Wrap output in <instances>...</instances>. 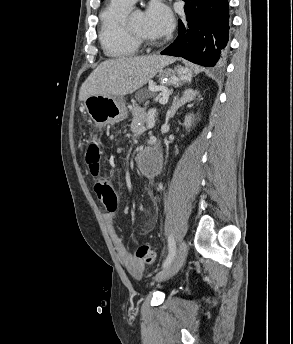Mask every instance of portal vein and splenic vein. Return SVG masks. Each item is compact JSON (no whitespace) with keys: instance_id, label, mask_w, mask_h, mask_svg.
<instances>
[{"instance_id":"1","label":"portal vein and splenic vein","mask_w":293,"mask_h":344,"mask_svg":"<svg viewBox=\"0 0 293 344\" xmlns=\"http://www.w3.org/2000/svg\"><path fill=\"white\" fill-rule=\"evenodd\" d=\"M168 99V96L167 97H163V100H167Z\"/></svg>"}]
</instances>
